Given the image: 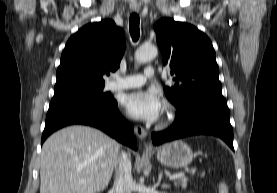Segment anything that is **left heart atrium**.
I'll return each mask as SVG.
<instances>
[{"mask_svg":"<svg viewBox=\"0 0 277 193\" xmlns=\"http://www.w3.org/2000/svg\"><path fill=\"white\" fill-rule=\"evenodd\" d=\"M126 113L134 119L154 122L163 109V102L154 91L139 90L127 94L123 99Z\"/></svg>","mask_w":277,"mask_h":193,"instance_id":"left-heart-atrium-1","label":"left heart atrium"}]
</instances>
